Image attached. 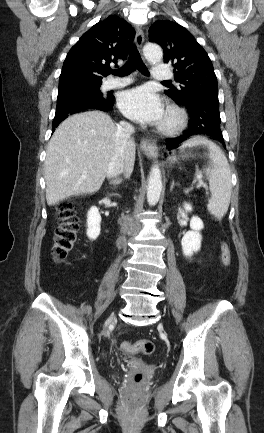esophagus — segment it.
<instances>
[{"label":"esophagus","instance_id":"1","mask_svg":"<svg viewBox=\"0 0 264 433\" xmlns=\"http://www.w3.org/2000/svg\"><path fill=\"white\" fill-rule=\"evenodd\" d=\"M143 42H144L143 32L140 28H138L136 30V35H135V44L139 50H141L143 46ZM140 149L147 157H156L158 155L157 145L149 139L144 138L140 141Z\"/></svg>","mask_w":264,"mask_h":433}]
</instances>
